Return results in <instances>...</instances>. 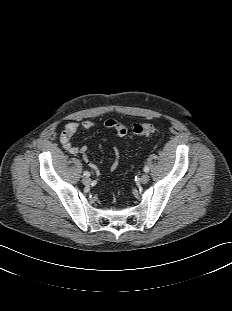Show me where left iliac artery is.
<instances>
[{"label": "left iliac artery", "mask_w": 232, "mask_h": 311, "mask_svg": "<svg viewBox=\"0 0 232 311\" xmlns=\"http://www.w3.org/2000/svg\"><path fill=\"white\" fill-rule=\"evenodd\" d=\"M143 170H144V172L147 173V172H149V167H148V166H145Z\"/></svg>", "instance_id": "obj_1"}]
</instances>
